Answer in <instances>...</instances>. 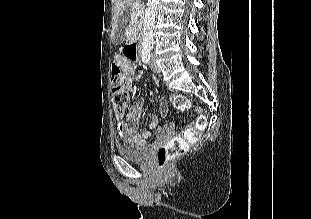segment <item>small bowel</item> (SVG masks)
Segmentation results:
<instances>
[{
  "label": "small bowel",
  "mask_w": 311,
  "mask_h": 219,
  "mask_svg": "<svg viewBox=\"0 0 311 219\" xmlns=\"http://www.w3.org/2000/svg\"><path fill=\"white\" fill-rule=\"evenodd\" d=\"M115 63L123 70L125 75V87L130 90L134 85L135 78V71L131 61L124 56L118 55L115 59ZM144 105L145 99L143 97L139 98L128 108L126 119L117 123L118 135L127 145L142 144L151 136L152 131L157 128L159 135L162 137L167 136L172 132L170 126L159 127L160 116L153 114L149 118L147 129L138 133L137 129ZM159 107L161 113H165L166 103L164 99L160 100Z\"/></svg>",
  "instance_id": "small-bowel-1"
}]
</instances>
